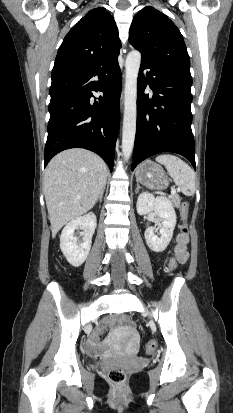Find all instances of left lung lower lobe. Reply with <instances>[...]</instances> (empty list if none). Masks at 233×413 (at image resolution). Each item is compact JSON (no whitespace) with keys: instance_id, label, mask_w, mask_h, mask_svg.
I'll list each match as a JSON object with an SVG mask.
<instances>
[{"instance_id":"0a47b994","label":"left lung lower lobe","mask_w":233,"mask_h":413,"mask_svg":"<svg viewBox=\"0 0 233 413\" xmlns=\"http://www.w3.org/2000/svg\"><path fill=\"white\" fill-rule=\"evenodd\" d=\"M149 69V77L143 70ZM146 85L152 98L144 94ZM191 85L180 77L142 60L138 76L137 128L132 170L146 158L174 152L195 168V142L191 130Z\"/></svg>"}]
</instances>
